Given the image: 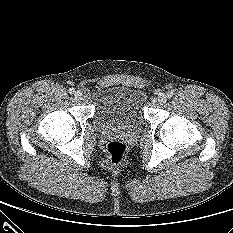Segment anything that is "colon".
I'll return each instance as SVG.
<instances>
[{"instance_id": "1", "label": "colon", "mask_w": 233, "mask_h": 233, "mask_svg": "<svg viewBox=\"0 0 233 233\" xmlns=\"http://www.w3.org/2000/svg\"><path fill=\"white\" fill-rule=\"evenodd\" d=\"M126 146L119 141H111L105 146L107 163L111 167L120 166L126 157Z\"/></svg>"}]
</instances>
